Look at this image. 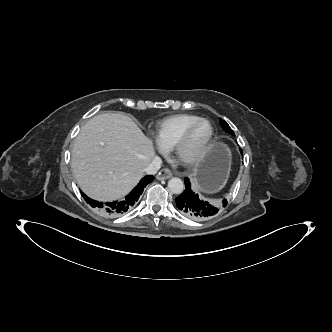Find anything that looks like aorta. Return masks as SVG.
Segmentation results:
<instances>
[{
    "mask_svg": "<svg viewBox=\"0 0 332 332\" xmlns=\"http://www.w3.org/2000/svg\"><path fill=\"white\" fill-rule=\"evenodd\" d=\"M168 188L173 194H181L184 191V183L180 178H171L168 181Z\"/></svg>",
    "mask_w": 332,
    "mask_h": 332,
    "instance_id": "aorta-1",
    "label": "aorta"
}]
</instances>
